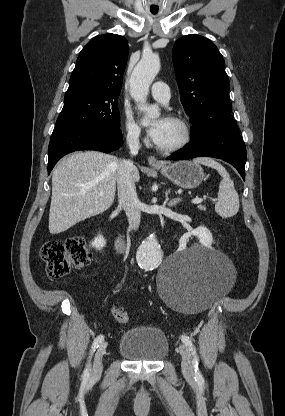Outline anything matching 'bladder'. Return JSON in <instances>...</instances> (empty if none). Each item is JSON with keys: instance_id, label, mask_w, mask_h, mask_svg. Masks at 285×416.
<instances>
[{"instance_id": "obj_1", "label": "bladder", "mask_w": 285, "mask_h": 416, "mask_svg": "<svg viewBox=\"0 0 285 416\" xmlns=\"http://www.w3.org/2000/svg\"><path fill=\"white\" fill-rule=\"evenodd\" d=\"M118 352L130 361L156 362L168 354V339L160 329L140 325L124 331Z\"/></svg>"}]
</instances>
